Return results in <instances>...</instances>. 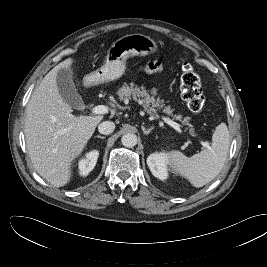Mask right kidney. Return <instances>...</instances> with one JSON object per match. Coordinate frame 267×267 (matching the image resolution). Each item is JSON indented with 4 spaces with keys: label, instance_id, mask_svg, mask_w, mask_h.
<instances>
[{
    "label": "right kidney",
    "instance_id": "ca27d5eb",
    "mask_svg": "<svg viewBox=\"0 0 267 267\" xmlns=\"http://www.w3.org/2000/svg\"><path fill=\"white\" fill-rule=\"evenodd\" d=\"M99 156V152L97 150H93L86 154L85 158L81 159L79 162V174L81 176H87L90 171L96 165L97 159Z\"/></svg>",
    "mask_w": 267,
    "mask_h": 267
}]
</instances>
